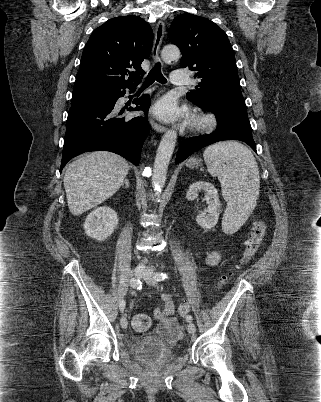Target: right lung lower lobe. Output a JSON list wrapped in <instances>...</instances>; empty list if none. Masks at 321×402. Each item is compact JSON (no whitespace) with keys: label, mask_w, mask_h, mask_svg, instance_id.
<instances>
[{"label":"right lung lower lobe","mask_w":321,"mask_h":402,"mask_svg":"<svg viewBox=\"0 0 321 402\" xmlns=\"http://www.w3.org/2000/svg\"><path fill=\"white\" fill-rule=\"evenodd\" d=\"M125 88L135 86L108 87L104 97L72 98L68 112L60 172L73 157L88 151L105 150L119 154L135 165L140 162L141 149L149 133L147 118L132 119L118 117L116 101L124 96ZM136 108L147 115L150 107L149 95L134 100Z\"/></svg>","instance_id":"obj_1"}]
</instances>
